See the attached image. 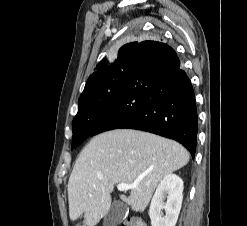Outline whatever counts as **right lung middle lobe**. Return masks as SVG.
<instances>
[{
  "label": "right lung middle lobe",
  "instance_id": "obj_1",
  "mask_svg": "<svg viewBox=\"0 0 247 226\" xmlns=\"http://www.w3.org/2000/svg\"><path fill=\"white\" fill-rule=\"evenodd\" d=\"M131 57L120 55L112 63L106 59L105 68L93 85L79 98V110L73 119L71 149L91 136L96 125L118 94L126 75Z\"/></svg>",
  "mask_w": 247,
  "mask_h": 226
}]
</instances>
